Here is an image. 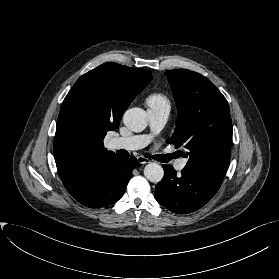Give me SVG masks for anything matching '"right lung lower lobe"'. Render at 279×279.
<instances>
[{
  "label": "right lung lower lobe",
  "mask_w": 279,
  "mask_h": 279,
  "mask_svg": "<svg viewBox=\"0 0 279 279\" xmlns=\"http://www.w3.org/2000/svg\"><path fill=\"white\" fill-rule=\"evenodd\" d=\"M137 164L135 157L119 156L89 163L63 181V184L82 205L89 208L105 207L122 197Z\"/></svg>",
  "instance_id": "98d812e1"
}]
</instances>
